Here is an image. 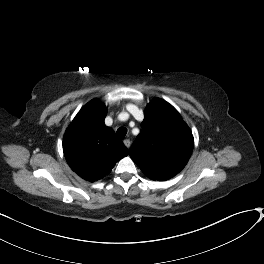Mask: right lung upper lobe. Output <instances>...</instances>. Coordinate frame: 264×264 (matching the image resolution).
I'll return each instance as SVG.
<instances>
[{"mask_svg":"<svg viewBox=\"0 0 264 264\" xmlns=\"http://www.w3.org/2000/svg\"><path fill=\"white\" fill-rule=\"evenodd\" d=\"M106 106L97 99L87 103L66 129L63 152L70 168L81 178L94 182L109 174L128 155L114 131L105 126Z\"/></svg>","mask_w":264,"mask_h":264,"instance_id":"right-lung-upper-lobe-1","label":"right lung upper lobe"}]
</instances>
